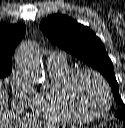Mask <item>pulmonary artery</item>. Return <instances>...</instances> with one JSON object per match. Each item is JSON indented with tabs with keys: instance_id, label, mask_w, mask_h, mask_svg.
I'll list each match as a JSON object with an SVG mask.
<instances>
[{
	"instance_id": "e3ab8cb5",
	"label": "pulmonary artery",
	"mask_w": 125,
	"mask_h": 128,
	"mask_svg": "<svg viewBox=\"0 0 125 128\" xmlns=\"http://www.w3.org/2000/svg\"><path fill=\"white\" fill-rule=\"evenodd\" d=\"M65 61V57L62 53L54 52L49 54L47 58V63H60Z\"/></svg>"
}]
</instances>
